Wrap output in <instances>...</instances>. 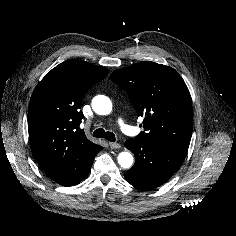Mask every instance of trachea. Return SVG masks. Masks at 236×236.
I'll return each mask as SVG.
<instances>
[{
	"label": "trachea",
	"mask_w": 236,
	"mask_h": 236,
	"mask_svg": "<svg viewBox=\"0 0 236 236\" xmlns=\"http://www.w3.org/2000/svg\"><path fill=\"white\" fill-rule=\"evenodd\" d=\"M93 137L105 138L108 141L115 142V134L110 131H105L103 128L96 129L93 132Z\"/></svg>",
	"instance_id": "1"
}]
</instances>
